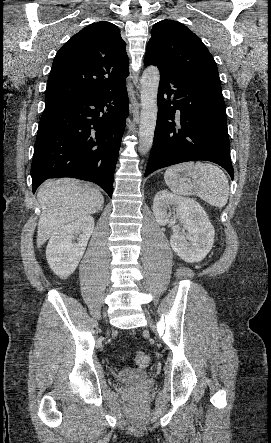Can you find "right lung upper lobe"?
Listing matches in <instances>:
<instances>
[{"mask_svg":"<svg viewBox=\"0 0 271 443\" xmlns=\"http://www.w3.org/2000/svg\"><path fill=\"white\" fill-rule=\"evenodd\" d=\"M128 64L120 29L110 22L93 23L57 52L47 82L45 104L115 91L126 84Z\"/></svg>","mask_w":271,"mask_h":443,"instance_id":"cb5924a9","label":"right lung upper lobe"}]
</instances>
